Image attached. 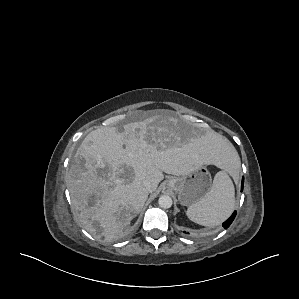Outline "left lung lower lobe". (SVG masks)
I'll return each instance as SVG.
<instances>
[{"instance_id":"1","label":"left lung lower lobe","mask_w":299,"mask_h":299,"mask_svg":"<svg viewBox=\"0 0 299 299\" xmlns=\"http://www.w3.org/2000/svg\"><path fill=\"white\" fill-rule=\"evenodd\" d=\"M243 185H244V177H243V179H242V183H241V191L243 190ZM235 216H236V212H233V214L229 217L228 220H226V221L222 224V226H223L224 228H228V227L231 225V223L233 222Z\"/></svg>"}]
</instances>
